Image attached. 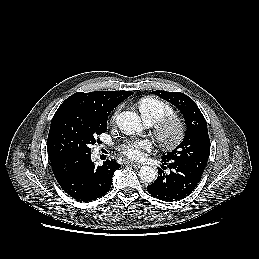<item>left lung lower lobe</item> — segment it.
<instances>
[{
	"label": "left lung lower lobe",
	"instance_id": "0a47b994",
	"mask_svg": "<svg viewBox=\"0 0 259 259\" xmlns=\"http://www.w3.org/2000/svg\"><path fill=\"white\" fill-rule=\"evenodd\" d=\"M163 162L170 169V173H164L165 166H162V169L158 168V178L147 187V191L159 200L170 202L188 196L198 185L202 174L184 163L164 160Z\"/></svg>",
	"mask_w": 259,
	"mask_h": 259
}]
</instances>
